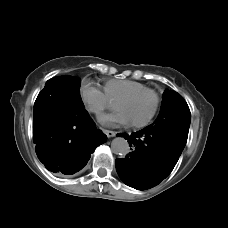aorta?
<instances>
[{"label": "aorta", "instance_id": "obj_1", "mask_svg": "<svg viewBox=\"0 0 228 228\" xmlns=\"http://www.w3.org/2000/svg\"><path fill=\"white\" fill-rule=\"evenodd\" d=\"M112 152L116 155L125 156L130 152L128 141L123 137L113 139L111 143Z\"/></svg>", "mask_w": 228, "mask_h": 228}]
</instances>
